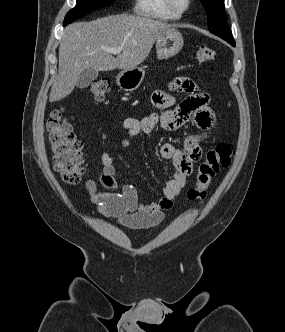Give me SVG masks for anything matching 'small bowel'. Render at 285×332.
<instances>
[{"label":"small bowel","instance_id":"obj_1","mask_svg":"<svg viewBox=\"0 0 285 332\" xmlns=\"http://www.w3.org/2000/svg\"><path fill=\"white\" fill-rule=\"evenodd\" d=\"M169 88L171 91L188 92L189 96L179 104V101L174 100L167 91L158 90L153 93L154 106L169 110L159 112L162 125L173 130L193 121L202 133L188 136L183 148L171 143H164L160 147L161 157L171 160L173 168L172 175L164 182L162 197L158 201L144 204L140 202L137 190L132 185H125L121 192H117L119 185L115 177V160L107 151H103L101 155L103 169L98 181L87 180L85 183L90 201L97 212L106 217L116 218L123 226L149 228L164 220L166 211L172 207L174 199L186 186L194 162L202 156L200 142L216 125L215 113L208 105L209 95L200 91L190 78L178 77L170 83ZM156 123L157 118L154 116L142 119L126 118L122 123L126 132V137L121 142L122 147H129L137 135L151 132ZM98 183L106 190L99 191Z\"/></svg>","mask_w":285,"mask_h":332}]
</instances>
